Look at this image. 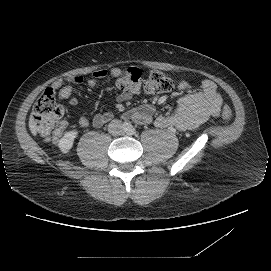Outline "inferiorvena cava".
<instances>
[{
    "label": "inferior vena cava",
    "instance_id": "1",
    "mask_svg": "<svg viewBox=\"0 0 271 271\" xmlns=\"http://www.w3.org/2000/svg\"><path fill=\"white\" fill-rule=\"evenodd\" d=\"M108 130L111 134L113 135H118L122 132L123 130V125L120 121L118 120H113L109 123L108 125Z\"/></svg>",
    "mask_w": 271,
    "mask_h": 271
}]
</instances>
